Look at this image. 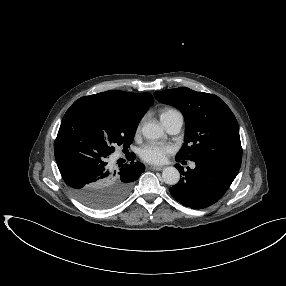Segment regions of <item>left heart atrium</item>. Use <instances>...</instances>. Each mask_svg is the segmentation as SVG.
Listing matches in <instances>:
<instances>
[{"mask_svg":"<svg viewBox=\"0 0 286 286\" xmlns=\"http://www.w3.org/2000/svg\"><path fill=\"white\" fill-rule=\"evenodd\" d=\"M173 147L163 143H149L141 151V157L144 161L151 164L164 163Z\"/></svg>","mask_w":286,"mask_h":286,"instance_id":"obj_1","label":"left heart atrium"}]
</instances>
